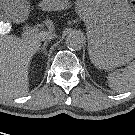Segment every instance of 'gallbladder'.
<instances>
[{
    "label": "gallbladder",
    "mask_w": 135,
    "mask_h": 135,
    "mask_svg": "<svg viewBox=\"0 0 135 135\" xmlns=\"http://www.w3.org/2000/svg\"><path fill=\"white\" fill-rule=\"evenodd\" d=\"M1 15H2V11L0 10V21L2 20ZM3 21H5V20H3Z\"/></svg>",
    "instance_id": "1"
}]
</instances>
